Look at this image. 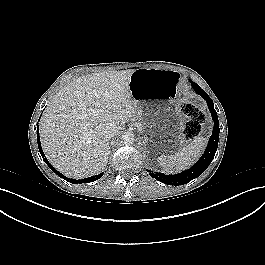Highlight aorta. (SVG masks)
<instances>
[{"instance_id": "aorta-1", "label": "aorta", "mask_w": 265, "mask_h": 265, "mask_svg": "<svg viewBox=\"0 0 265 265\" xmlns=\"http://www.w3.org/2000/svg\"><path fill=\"white\" fill-rule=\"evenodd\" d=\"M135 137L134 134L132 132H124L121 135V143L125 144V145H130L134 142Z\"/></svg>"}]
</instances>
